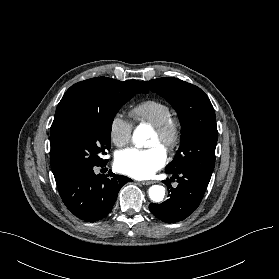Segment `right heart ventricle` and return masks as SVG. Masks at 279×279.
I'll list each match as a JSON object with an SVG mask.
<instances>
[{
    "mask_svg": "<svg viewBox=\"0 0 279 279\" xmlns=\"http://www.w3.org/2000/svg\"><path fill=\"white\" fill-rule=\"evenodd\" d=\"M131 115L136 121L146 122L154 127L171 116L172 113L170 107L164 102L149 99L135 105L131 109Z\"/></svg>",
    "mask_w": 279,
    "mask_h": 279,
    "instance_id": "1",
    "label": "right heart ventricle"
}]
</instances>
